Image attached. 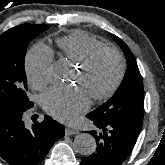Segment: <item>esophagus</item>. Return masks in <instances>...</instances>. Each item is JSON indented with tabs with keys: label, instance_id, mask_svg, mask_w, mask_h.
<instances>
[{
	"label": "esophagus",
	"instance_id": "1",
	"mask_svg": "<svg viewBox=\"0 0 165 165\" xmlns=\"http://www.w3.org/2000/svg\"><path fill=\"white\" fill-rule=\"evenodd\" d=\"M78 132H79L78 129L75 127L67 126L65 128L66 135H74L77 134Z\"/></svg>",
	"mask_w": 165,
	"mask_h": 165
}]
</instances>
